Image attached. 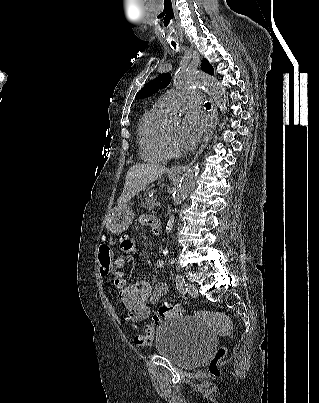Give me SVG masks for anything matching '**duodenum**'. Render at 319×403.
Listing matches in <instances>:
<instances>
[{
	"mask_svg": "<svg viewBox=\"0 0 319 403\" xmlns=\"http://www.w3.org/2000/svg\"><path fill=\"white\" fill-rule=\"evenodd\" d=\"M153 227H154L155 230L159 229V221L157 219L154 221Z\"/></svg>",
	"mask_w": 319,
	"mask_h": 403,
	"instance_id": "obj_1",
	"label": "duodenum"
}]
</instances>
